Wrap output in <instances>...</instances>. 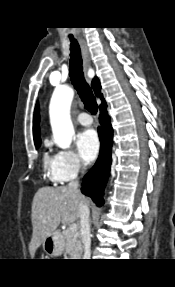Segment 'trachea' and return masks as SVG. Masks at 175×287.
Listing matches in <instances>:
<instances>
[{
  "label": "trachea",
  "instance_id": "obj_1",
  "mask_svg": "<svg viewBox=\"0 0 175 287\" xmlns=\"http://www.w3.org/2000/svg\"><path fill=\"white\" fill-rule=\"evenodd\" d=\"M70 41V79L75 89L77 90L82 102L84 103L85 108L92 114H96L98 110V105L92 92V89L84 78L80 47L78 45V42L73 37H70Z\"/></svg>",
  "mask_w": 175,
  "mask_h": 287
}]
</instances>
